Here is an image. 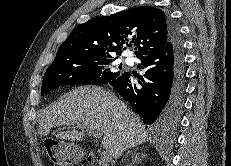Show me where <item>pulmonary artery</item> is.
Wrapping results in <instances>:
<instances>
[{
    "label": "pulmonary artery",
    "mask_w": 231,
    "mask_h": 166,
    "mask_svg": "<svg viewBox=\"0 0 231 166\" xmlns=\"http://www.w3.org/2000/svg\"><path fill=\"white\" fill-rule=\"evenodd\" d=\"M127 63L131 64V63H132V61H131L130 59H127Z\"/></svg>",
    "instance_id": "e3ab8cb5"
}]
</instances>
